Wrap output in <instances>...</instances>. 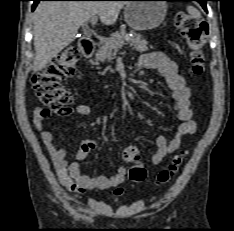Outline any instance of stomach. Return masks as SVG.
Segmentation results:
<instances>
[{
	"label": "stomach",
	"instance_id": "obj_1",
	"mask_svg": "<svg viewBox=\"0 0 234 231\" xmlns=\"http://www.w3.org/2000/svg\"><path fill=\"white\" fill-rule=\"evenodd\" d=\"M167 3L163 0H133L126 3L124 18L136 31L157 28L165 19Z\"/></svg>",
	"mask_w": 234,
	"mask_h": 231
}]
</instances>
